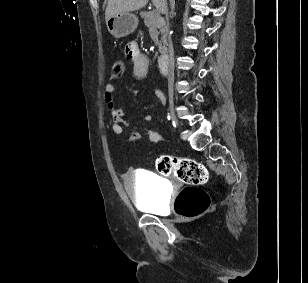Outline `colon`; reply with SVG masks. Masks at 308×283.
Segmentation results:
<instances>
[{
  "instance_id": "obj_1",
  "label": "colon",
  "mask_w": 308,
  "mask_h": 283,
  "mask_svg": "<svg viewBox=\"0 0 308 283\" xmlns=\"http://www.w3.org/2000/svg\"><path fill=\"white\" fill-rule=\"evenodd\" d=\"M124 71V63L116 61L112 69L113 76L120 77ZM156 168L162 175L176 177L186 185L180 190L175 200V209L178 214L194 218L208 209L209 197L198 186L208 181L209 173L200 162L188 158L162 155L156 160Z\"/></svg>"
}]
</instances>
